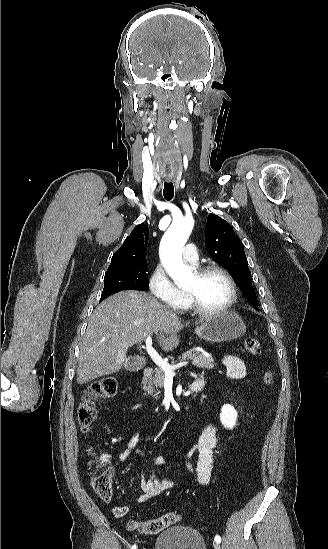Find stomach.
<instances>
[{"label":"stomach","mask_w":328,"mask_h":549,"mask_svg":"<svg viewBox=\"0 0 328 549\" xmlns=\"http://www.w3.org/2000/svg\"><path fill=\"white\" fill-rule=\"evenodd\" d=\"M197 337L210 343H224L239 339L246 333V325L238 313L226 309L217 315L207 317L202 325L195 329Z\"/></svg>","instance_id":"1"}]
</instances>
